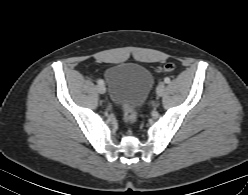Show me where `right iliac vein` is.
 I'll list each match as a JSON object with an SVG mask.
<instances>
[{
  "mask_svg": "<svg viewBox=\"0 0 248 195\" xmlns=\"http://www.w3.org/2000/svg\"><path fill=\"white\" fill-rule=\"evenodd\" d=\"M96 89L100 94H104L106 92V88L104 85H98Z\"/></svg>",
  "mask_w": 248,
  "mask_h": 195,
  "instance_id": "1",
  "label": "right iliac vein"
}]
</instances>
